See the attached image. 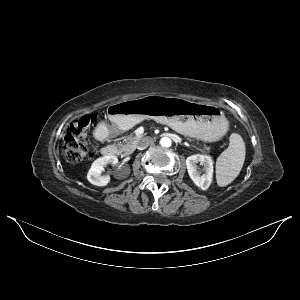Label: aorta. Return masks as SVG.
I'll list each match as a JSON object with an SVG mask.
<instances>
[{
  "label": "aorta",
  "instance_id": "obj_1",
  "mask_svg": "<svg viewBox=\"0 0 300 300\" xmlns=\"http://www.w3.org/2000/svg\"><path fill=\"white\" fill-rule=\"evenodd\" d=\"M160 145L162 147L168 148V147H170L172 145V140L169 137H162L160 139Z\"/></svg>",
  "mask_w": 300,
  "mask_h": 300
}]
</instances>
